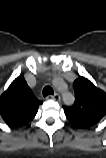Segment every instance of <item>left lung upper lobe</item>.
Segmentation results:
<instances>
[{"instance_id":"left-lung-upper-lobe-1","label":"left lung upper lobe","mask_w":106,"mask_h":158,"mask_svg":"<svg viewBox=\"0 0 106 158\" xmlns=\"http://www.w3.org/2000/svg\"><path fill=\"white\" fill-rule=\"evenodd\" d=\"M73 87L75 103L63 107L65 115L77 128L93 127L106 116V93L82 76L74 81Z\"/></svg>"}]
</instances>
